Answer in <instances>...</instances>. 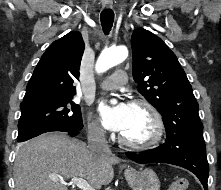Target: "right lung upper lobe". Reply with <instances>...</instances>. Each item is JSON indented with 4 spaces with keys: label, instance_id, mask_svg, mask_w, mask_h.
I'll return each mask as SVG.
<instances>
[{
    "label": "right lung upper lobe",
    "instance_id": "cb5924a9",
    "mask_svg": "<svg viewBox=\"0 0 221 190\" xmlns=\"http://www.w3.org/2000/svg\"><path fill=\"white\" fill-rule=\"evenodd\" d=\"M83 52L84 42L78 31L54 41L38 62L20 106L73 97Z\"/></svg>",
    "mask_w": 221,
    "mask_h": 190
}]
</instances>
